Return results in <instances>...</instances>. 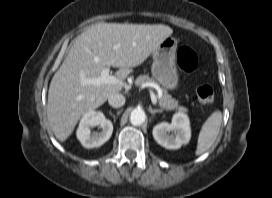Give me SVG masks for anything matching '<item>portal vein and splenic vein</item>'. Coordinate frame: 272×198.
Returning a JSON list of instances; mask_svg holds the SVG:
<instances>
[{
  "label": "portal vein and splenic vein",
  "mask_w": 272,
  "mask_h": 198,
  "mask_svg": "<svg viewBox=\"0 0 272 198\" xmlns=\"http://www.w3.org/2000/svg\"><path fill=\"white\" fill-rule=\"evenodd\" d=\"M119 47H120V44L114 45L115 49H117ZM109 72H110V67H106L102 70L100 76L95 77V78H82L81 83H82V85H95L97 87H99L103 84L121 85L126 90L131 88V86H129L125 83H122L117 77L110 75ZM150 96H151V101H152L153 105H156L157 98L152 91L150 92Z\"/></svg>",
  "instance_id": "portal-vein-and-splenic-vein-1"
}]
</instances>
